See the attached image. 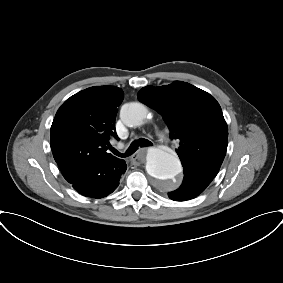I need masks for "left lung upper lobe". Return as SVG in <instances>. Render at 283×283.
Wrapping results in <instances>:
<instances>
[{
	"mask_svg": "<svg viewBox=\"0 0 283 283\" xmlns=\"http://www.w3.org/2000/svg\"><path fill=\"white\" fill-rule=\"evenodd\" d=\"M141 102L162 114L170 137L180 143L176 150L184 174L212 181L224 160L228 127L218 102L207 92L182 81L138 93Z\"/></svg>",
	"mask_w": 283,
	"mask_h": 283,
	"instance_id": "5c2ea615",
	"label": "left lung upper lobe"
}]
</instances>
